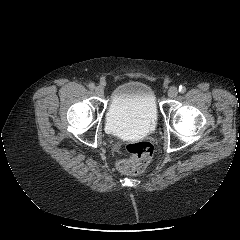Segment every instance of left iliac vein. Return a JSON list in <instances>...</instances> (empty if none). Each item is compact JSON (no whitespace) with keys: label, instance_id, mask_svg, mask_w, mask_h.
Listing matches in <instances>:
<instances>
[{"label":"left iliac vein","instance_id":"1","mask_svg":"<svg viewBox=\"0 0 240 240\" xmlns=\"http://www.w3.org/2000/svg\"><path fill=\"white\" fill-rule=\"evenodd\" d=\"M178 94V89L174 86L170 87L168 90V96L170 98H175Z\"/></svg>","mask_w":240,"mask_h":240}]
</instances>
